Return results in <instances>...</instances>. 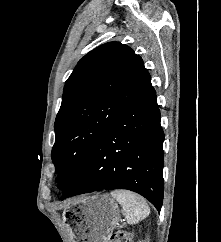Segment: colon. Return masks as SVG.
Instances as JSON below:
<instances>
[{"label":"colon","instance_id":"1","mask_svg":"<svg viewBox=\"0 0 221 242\" xmlns=\"http://www.w3.org/2000/svg\"><path fill=\"white\" fill-rule=\"evenodd\" d=\"M132 234L125 230H117L115 231L111 237L109 242H132Z\"/></svg>","mask_w":221,"mask_h":242}]
</instances>
